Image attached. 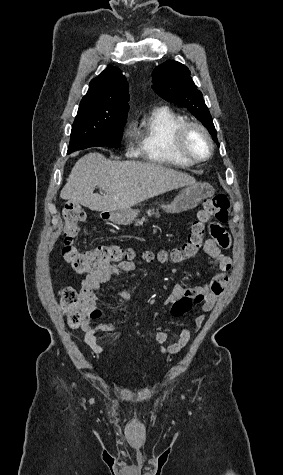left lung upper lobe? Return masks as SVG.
Instances as JSON below:
<instances>
[{
    "label": "left lung upper lobe",
    "instance_id": "5c2ea615",
    "mask_svg": "<svg viewBox=\"0 0 283 475\" xmlns=\"http://www.w3.org/2000/svg\"><path fill=\"white\" fill-rule=\"evenodd\" d=\"M189 69L176 61H167L152 73L154 91L163 99L186 107L209 130L218 144L216 129L202 93L190 77Z\"/></svg>",
    "mask_w": 283,
    "mask_h": 475
}]
</instances>
